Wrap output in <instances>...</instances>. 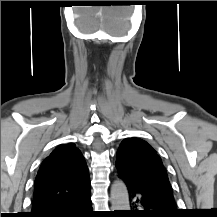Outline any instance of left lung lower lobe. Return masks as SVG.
Returning a JSON list of instances; mask_svg holds the SVG:
<instances>
[{"mask_svg": "<svg viewBox=\"0 0 217 217\" xmlns=\"http://www.w3.org/2000/svg\"><path fill=\"white\" fill-rule=\"evenodd\" d=\"M128 192L129 197L135 198L136 203L141 204L144 208L141 211L133 210L128 212L127 214L131 217H177L179 214L175 209V204L164 197L143 193L132 188H128Z\"/></svg>", "mask_w": 217, "mask_h": 217, "instance_id": "1", "label": "left lung lower lobe"}]
</instances>
